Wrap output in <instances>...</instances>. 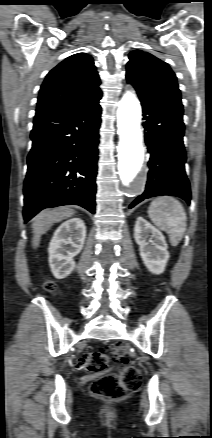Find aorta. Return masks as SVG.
Masks as SVG:
<instances>
[{"instance_id": "762f6f07", "label": "aorta", "mask_w": 212, "mask_h": 438, "mask_svg": "<svg viewBox=\"0 0 212 438\" xmlns=\"http://www.w3.org/2000/svg\"><path fill=\"white\" fill-rule=\"evenodd\" d=\"M141 107L132 91H127L118 105L119 134L118 171L124 185H130L140 173L144 162L143 137L140 128Z\"/></svg>"}]
</instances>
